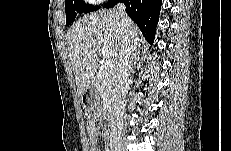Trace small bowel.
<instances>
[{
  "label": "small bowel",
  "instance_id": "1",
  "mask_svg": "<svg viewBox=\"0 0 231 151\" xmlns=\"http://www.w3.org/2000/svg\"><path fill=\"white\" fill-rule=\"evenodd\" d=\"M97 118L98 114H94L87 121V132L89 137L90 151H101L98 145L100 131L96 127Z\"/></svg>",
  "mask_w": 231,
  "mask_h": 151
}]
</instances>
